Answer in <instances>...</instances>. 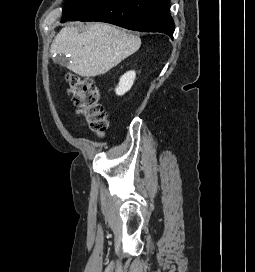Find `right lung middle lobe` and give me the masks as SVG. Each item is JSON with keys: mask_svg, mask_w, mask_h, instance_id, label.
I'll return each mask as SVG.
<instances>
[{"mask_svg": "<svg viewBox=\"0 0 255 272\" xmlns=\"http://www.w3.org/2000/svg\"><path fill=\"white\" fill-rule=\"evenodd\" d=\"M90 0H67L63 8L62 20L61 22L68 19L73 13L80 9Z\"/></svg>", "mask_w": 255, "mask_h": 272, "instance_id": "right-lung-middle-lobe-1", "label": "right lung middle lobe"}]
</instances>
